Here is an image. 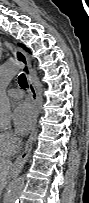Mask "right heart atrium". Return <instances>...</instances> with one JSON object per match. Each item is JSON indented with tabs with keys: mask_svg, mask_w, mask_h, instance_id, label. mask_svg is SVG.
<instances>
[{
	"mask_svg": "<svg viewBox=\"0 0 89 203\" xmlns=\"http://www.w3.org/2000/svg\"><path fill=\"white\" fill-rule=\"evenodd\" d=\"M3 137H4V140H5L6 144L10 148L15 150V148L19 144V138L13 132H11V131H5V132H3Z\"/></svg>",
	"mask_w": 89,
	"mask_h": 203,
	"instance_id": "d8ad5b80",
	"label": "right heart atrium"
}]
</instances>
